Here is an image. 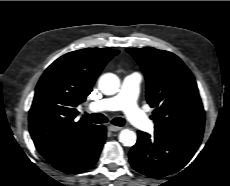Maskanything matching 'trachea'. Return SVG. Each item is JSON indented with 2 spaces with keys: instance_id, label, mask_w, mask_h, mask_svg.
Listing matches in <instances>:
<instances>
[{
  "instance_id": "obj_1",
  "label": "trachea",
  "mask_w": 230,
  "mask_h": 186,
  "mask_svg": "<svg viewBox=\"0 0 230 186\" xmlns=\"http://www.w3.org/2000/svg\"><path fill=\"white\" fill-rule=\"evenodd\" d=\"M87 118H89L93 123H106L108 119L101 113H93V114H86ZM126 123L125 119L123 118H114L112 120V124L116 126H124Z\"/></svg>"
}]
</instances>
